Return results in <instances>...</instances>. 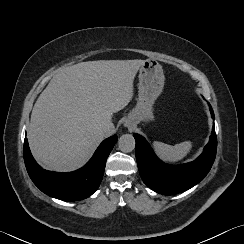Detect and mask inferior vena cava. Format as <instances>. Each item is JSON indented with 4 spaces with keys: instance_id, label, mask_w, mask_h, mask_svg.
Instances as JSON below:
<instances>
[{
    "instance_id": "obj_1",
    "label": "inferior vena cava",
    "mask_w": 244,
    "mask_h": 244,
    "mask_svg": "<svg viewBox=\"0 0 244 244\" xmlns=\"http://www.w3.org/2000/svg\"><path fill=\"white\" fill-rule=\"evenodd\" d=\"M100 131L103 136L107 137L114 133L115 128L112 122H106L102 124Z\"/></svg>"
}]
</instances>
